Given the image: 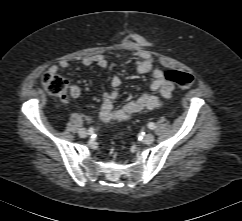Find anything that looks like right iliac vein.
I'll return each mask as SVG.
<instances>
[{"mask_svg": "<svg viewBox=\"0 0 242 221\" xmlns=\"http://www.w3.org/2000/svg\"><path fill=\"white\" fill-rule=\"evenodd\" d=\"M78 133H79V136L82 138H85L88 136V132L85 129H80Z\"/></svg>", "mask_w": 242, "mask_h": 221, "instance_id": "63e3f726", "label": "right iliac vein"}]
</instances>
